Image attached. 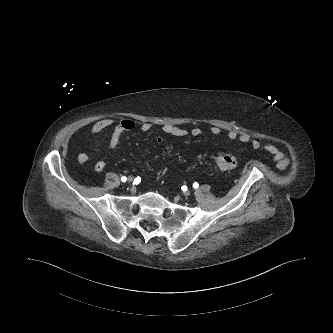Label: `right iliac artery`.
I'll list each match as a JSON object with an SVG mask.
<instances>
[{"instance_id": "1", "label": "right iliac artery", "mask_w": 333, "mask_h": 333, "mask_svg": "<svg viewBox=\"0 0 333 333\" xmlns=\"http://www.w3.org/2000/svg\"><path fill=\"white\" fill-rule=\"evenodd\" d=\"M127 178L125 176L121 177L122 182H126Z\"/></svg>"}]
</instances>
